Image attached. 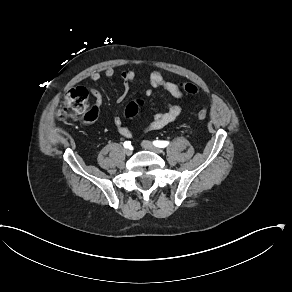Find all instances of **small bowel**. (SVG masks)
Listing matches in <instances>:
<instances>
[{
    "label": "small bowel",
    "instance_id": "1",
    "mask_svg": "<svg viewBox=\"0 0 292 292\" xmlns=\"http://www.w3.org/2000/svg\"><path fill=\"white\" fill-rule=\"evenodd\" d=\"M104 75L109 78H118L123 81L124 89L117 98L118 103H121L126 98L129 92V85L137 78V72L133 69L116 72L108 68L105 70ZM101 78L102 73L98 71H93L89 74V80L92 83L99 82ZM148 84L149 87L145 90L146 96L150 97L153 95L155 89L163 88L180 103H168L165 109L156 113L152 121L143 127V132L159 130L174 122L182 111L183 106L181 102L184 100V93L180 86L175 82L167 80L161 71L155 70L150 72L148 75ZM85 88L93 96L95 103L99 106L103 100L102 93L91 84H87ZM113 123L122 136L130 137L132 135L131 131L123 125L119 115L114 116Z\"/></svg>",
    "mask_w": 292,
    "mask_h": 292
}]
</instances>
